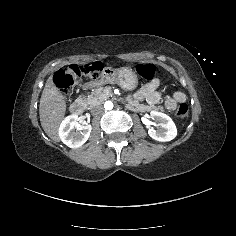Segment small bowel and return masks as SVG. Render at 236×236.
<instances>
[{"mask_svg":"<svg viewBox=\"0 0 236 236\" xmlns=\"http://www.w3.org/2000/svg\"><path fill=\"white\" fill-rule=\"evenodd\" d=\"M159 80L153 79L145 84L134 96L137 101L146 100L150 105L158 104L162 99V94L158 91ZM186 100V95L182 92H174L165 98V105L168 110L173 111L179 103Z\"/></svg>","mask_w":236,"mask_h":236,"instance_id":"obj_1","label":"small bowel"}]
</instances>
